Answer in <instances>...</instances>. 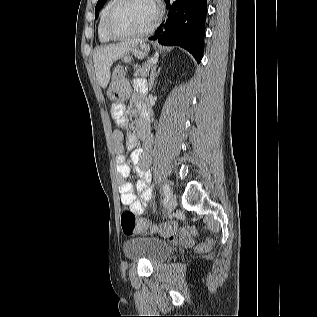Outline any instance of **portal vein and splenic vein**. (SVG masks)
<instances>
[{"label":"portal vein and splenic vein","instance_id":"18ae733b","mask_svg":"<svg viewBox=\"0 0 317 317\" xmlns=\"http://www.w3.org/2000/svg\"><path fill=\"white\" fill-rule=\"evenodd\" d=\"M157 62V59H151L150 63L155 64Z\"/></svg>","mask_w":317,"mask_h":317}]
</instances>
